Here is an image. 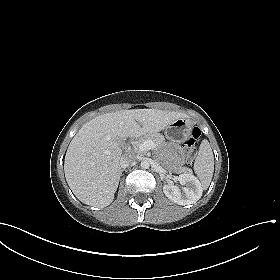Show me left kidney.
Wrapping results in <instances>:
<instances>
[{
	"label": "left kidney",
	"mask_w": 280,
	"mask_h": 280,
	"mask_svg": "<svg viewBox=\"0 0 280 280\" xmlns=\"http://www.w3.org/2000/svg\"><path fill=\"white\" fill-rule=\"evenodd\" d=\"M179 182L181 185H186L181 189L172 184L167 183L163 186V192L174 203L179 205H190L197 202L202 196V185L200 181L190 173L180 174Z\"/></svg>",
	"instance_id": "left-kidney-1"
}]
</instances>
